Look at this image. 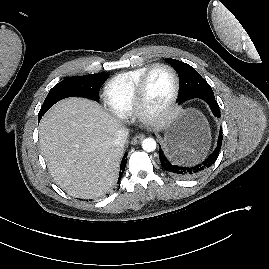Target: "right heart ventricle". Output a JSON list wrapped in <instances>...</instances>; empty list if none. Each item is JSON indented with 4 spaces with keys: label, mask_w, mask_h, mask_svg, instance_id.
I'll return each instance as SVG.
<instances>
[{
    "label": "right heart ventricle",
    "mask_w": 269,
    "mask_h": 269,
    "mask_svg": "<svg viewBox=\"0 0 269 269\" xmlns=\"http://www.w3.org/2000/svg\"><path fill=\"white\" fill-rule=\"evenodd\" d=\"M148 66L139 67L113 76L104 88V100L117 115L126 117L133 113L134 93L137 83Z\"/></svg>",
    "instance_id": "1"
}]
</instances>
